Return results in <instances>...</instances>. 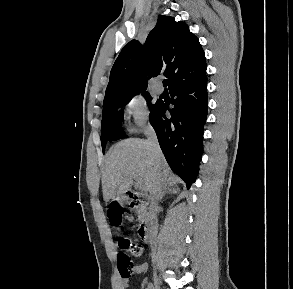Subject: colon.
Returning a JSON list of instances; mask_svg holds the SVG:
<instances>
[{
	"instance_id": "obj_1",
	"label": "colon",
	"mask_w": 293,
	"mask_h": 289,
	"mask_svg": "<svg viewBox=\"0 0 293 289\" xmlns=\"http://www.w3.org/2000/svg\"><path fill=\"white\" fill-rule=\"evenodd\" d=\"M110 218L113 222H118L120 220V214L117 208H114ZM119 247L122 252L118 256V267L122 277H128L131 274L135 267L131 262L130 256H140L143 253V246L133 241L128 237H121L119 239Z\"/></svg>"
}]
</instances>
